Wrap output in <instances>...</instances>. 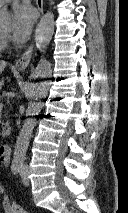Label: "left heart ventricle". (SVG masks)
Here are the masks:
<instances>
[{"label": "left heart ventricle", "instance_id": "1", "mask_svg": "<svg viewBox=\"0 0 128 213\" xmlns=\"http://www.w3.org/2000/svg\"><path fill=\"white\" fill-rule=\"evenodd\" d=\"M9 30H10V27L7 26V27L3 28L2 32L5 33V34H7L9 32Z\"/></svg>", "mask_w": 128, "mask_h": 213}]
</instances>
